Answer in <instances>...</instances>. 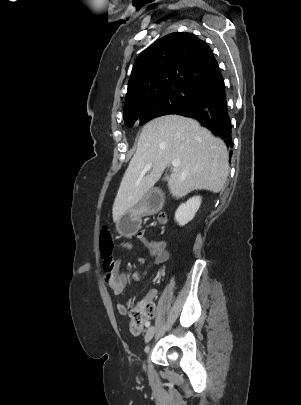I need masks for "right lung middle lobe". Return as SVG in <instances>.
Here are the masks:
<instances>
[{
  "instance_id": "obj_1",
  "label": "right lung middle lobe",
  "mask_w": 301,
  "mask_h": 405,
  "mask_svg": "<svg viewBox=\"0 0 301 405\" xmlns=\"http://www.w3.org/2000/svg\"><path fill=\"white\" fill-rule=\"evenodd\" d=\"M206 95L207 93L192 88L163 91L144 98L139 106L124 113V122L129 127L137 120L143 125L155 117L170 114L178 108L196 103Z\"/></svg>"
}]
</instances>
